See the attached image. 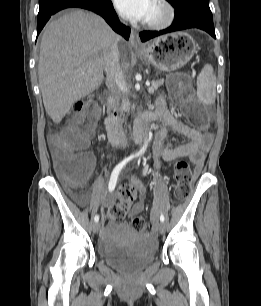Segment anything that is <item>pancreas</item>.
Instances as JSON below:
<instances>
[{"label": "pancreas", "instance_id": "cf45deb5", "mask_svg": "<svg viewBox=\"0 0 261 306\" xmlns=\"http://www.w3.org/2000/svg\"><path fill=\"white\" fill-rule=\"evenodd\" d=\"M163 83H164V80L152 81L151 87H150L152 91L150 92V94L154 93V91H157L158 88L161 85H163ZM128 110H129V104L128 102H124L121 107V114H123V111H128Z\"/></svg>", "mask_w": 261, "mask_h": 306}]
</instances>
